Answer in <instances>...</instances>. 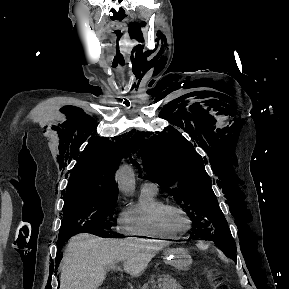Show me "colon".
<instances>
[{"mask_svg": "<svg viewBox=\"0 0 289 289\" xmlns=\"http://www.w3.org/2000/svg\"><path fill=\"white\" fill-rule=\"evenodd\" d=\"M211 276L214 277L215 274H214V273H211ZM218 286H220L221 289H230L226 284H218Z\"/></svg>", "mask_w": 289, "mask_h": 289, "instance_id": "obj_1", "label": "colon"}]
</instances>
